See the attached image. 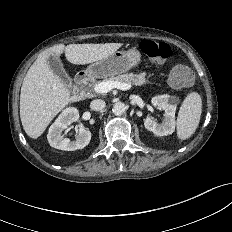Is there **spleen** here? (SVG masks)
I'll list each match as a JSON object with an SVG mask.
<instances>
[{"instance_id":"3e777b00","label":"spleen","mask_w":232,"mask_h":232,"mask_svg":"<svg viewBox=\"0 0 232 232\" xmlns=\"http://www.w3.org/2000/svg\"><path fill=\"white\" fill-rule=\"evenodd\" d=\"M202 112V100L198 93H190L183 101L177 118V135L186 140L197 129Z\"/></svg>"}]
</instances>
